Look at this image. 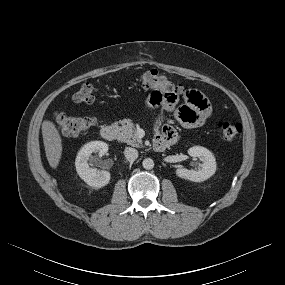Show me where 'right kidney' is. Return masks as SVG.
<instances>
[{
    "mask_svg": "<svg viewBox=\"0 0 285 285\" xmlns=\"http://www.w3.org/2000/svg\"><path fill=\"white\" fill-rule=\"evenodd\" d=\"M93 152H98L100 157L104 156L108 152V144L103 141H92L85 144L77 154L76 171L89 186L101 188L110 182L111 174L108 171H98L90 167L88 162L92 160Z\"/></svg>",
    "mask_w": 285,
    "mask_h": 285,
    "instance_id": "ca27d5eb",
    "label": "right kidney"
}]
</instances>
